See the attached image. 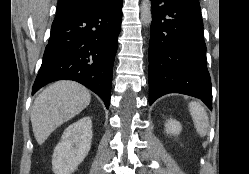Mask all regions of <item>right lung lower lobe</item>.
Masks as SVG:
<instances>
[{
	"instance_id": "98d812e1",
	"label": "right lung lower lobe",
	"mask_w": 249,
	"mask_h": 174,
	"mask_svg": "<svg viewBox=\"0 0 249 174\" xmlns=\"http://www.w3.org/2000/svg\"><path fill=\"white\" fill-rule=\"evenodd\" d=\"M122 0L53 21L32 94L56 80L77 81L109 108Z\"/></svg>"
}]
</instances>
